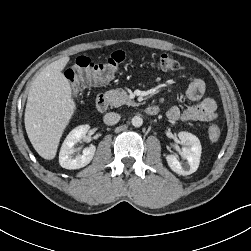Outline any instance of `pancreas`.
Instances as JSON below:
<instances>
[{"mask_svg":"<svg viewBox=\"0 0 251 251\" xmlns=\"http://www.w3.org/2000/svg\"><path fill=\"white\" fill-rule=\"evenodd\" d=\"M105 95L113 107H119L124 104L134 105L125 91L112 89L107 91Z\"/></svg>","mask_w":251,"mask_h":251,"instance_id":"cf45deb5","label":"pancreas"}]
</instances>
